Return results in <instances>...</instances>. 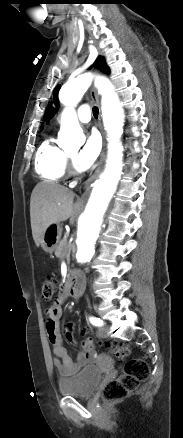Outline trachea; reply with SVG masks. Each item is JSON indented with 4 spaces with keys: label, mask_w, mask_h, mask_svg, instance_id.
<instances>
[{
    "label": "trachea",
    "mask_w": 183,
    "mask_h": 438,
    "mask_svg": "<svg viewBox=\"0 0 183 438\" xmlns=\"http://www.w3.org/2000/svg\"><path fill=\"white\" fill-rule=\"evenodd\" d=\"M98 112H99L98 108L94 107L93 108V115H94L95 118H98Z\"/></svg>",
    "instance_id": "trachea-1"
}]
</instances>
